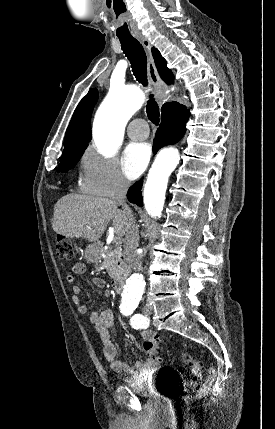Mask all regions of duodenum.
Segmentation results:
<instances>
[{
  "instance_id": "1",
  "label": "duodenum",
  "mask_w": 275,
  "mask_h": 429,
  "mask_svg": "<svg viewBox=\"0 0 275 429\" xmlns=\"http://www.w3.org/2000/svg\"><path fill=\"white\" fill-rule=\"evenodd\" d=\"M124 279L123 277H117L112 282V288L116 293H121L123 288Z\"/></svg>"
}]
</instances>
